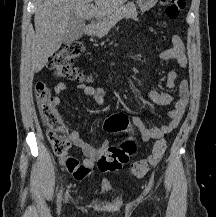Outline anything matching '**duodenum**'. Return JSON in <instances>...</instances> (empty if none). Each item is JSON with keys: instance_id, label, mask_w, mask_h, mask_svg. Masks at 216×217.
<instances>
[{"instance_id": "1", "label": "duodenum", "mask_w": 216, "mask_h": 217, "mask_svg": "<svg viewBox=\"0 0 216 217\" xmlns=\"http://www.w3.org/2000/svg\"><path fill=\"white\" fill-rule=\"evenodd\" d=\"M92 29H93V24L92 23H89V24H87L85 26V32L86 33H91Z\"/></svg>"}]
</instances>
